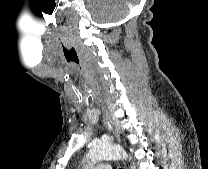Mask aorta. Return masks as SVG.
<instances>
[{
  "instance_id": "obj_1",
  "label": "aorta",
  "mask_w": 208,
  "mask_h": 169,
  "mask_svg": "<svg viewBox=\"0 0 208 169\" xmlns=\"http://www.w3.org/2000/svg\"><path fill=\"white\" fill-rule=\"evenodd\" d=\"M121 157H127L123 149L112 143L100 142L94 145L87 154L88 169L92 164L103 160H118Z\"/></svg>"
}]
</instances>
